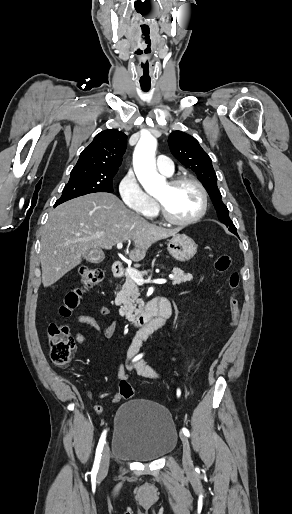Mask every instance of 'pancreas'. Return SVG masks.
Segmentation results:
<instances>
[{
  "label": "pancreas",
  "mask_w": 292,
  "mask_h": 514,
  "mask_svg": "<svg viewBox=\"0 0 292 514\" xmlns=\"http://www.w3.org/2000/svg\"><path fill=\"white\" fill-rule=\"evenodd\" d=\"M140 274L141 276H145L148 272H140ZM172 274V286L181 284V282H190V280H192V274H185V272L180 270V268H173ZM139 296L140 294L137 282H134L130 276H126V282L124 286H122L120 292H117L115 298L116 306H120V316H126L128 320V318H134L136 314L141 312V310H136L137 304L143 306V302L140 300Z\"/></svg>",
  "instance_id": "1"
}]
</instances>
